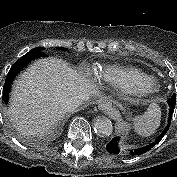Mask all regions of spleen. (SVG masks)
<instances>
[{
    "mask_svg": "<svg viewBox=\"0 0 177 177\" xmlns=\"http://www.w3.org/2000/svg\"><path fill=\"white\" fill-rule=\"evenodd\" d=\"M133 121L135 131L141 136L148 137L160 126L161 109L158 104L152 103L143 115L135 117Z\"/></svg>",
    "mask_w": 177,
    "mask_h": 177,
    "instance_id": "1",
    "label": "spleen"
}]
</instances>
